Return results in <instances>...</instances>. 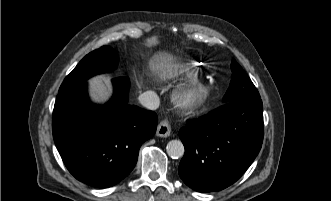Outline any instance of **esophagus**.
I'll use <instances>...</instances> for the list:
<instances>
[{
    "instance_id": "esophagus-1",
    "label": "esophagus",
    "mask_w": 331,
    "mask_h": 201,
    "mask_svg": "<svg viewBox=\"0 0 331 201\" xmlns=\"http://www.w3.org/2000/svg\"><path fill=\"white\" fill-rule=\"evenodd\" d=\"M171 133V127L167 120H162L156 131V135L159 137H168Z\"/></svg>"
}]
</instances>
